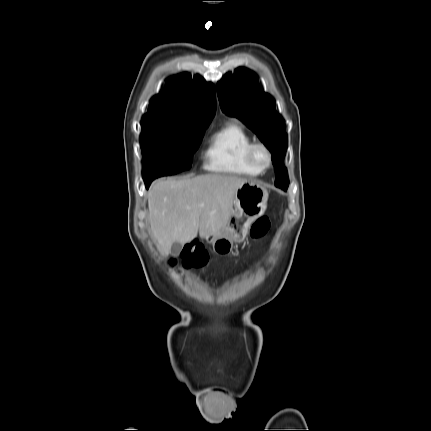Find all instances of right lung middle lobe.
<instances>
[{
    "label": "right lung middle lobe",
    "instance_id": "1",
    "mask_svg": "<svg viewBox=\"0 0 431 431\" xmlns=\"http://www.w3.org/2000/svg\"><path fill=\"white\" fill-rule=\"evenodd\" d=\"M207 127L141 121L143 179H154L189 169Z\"/></svg>",
    "mask_w": 431,
    "mask_h": 431
}]
</instances>
